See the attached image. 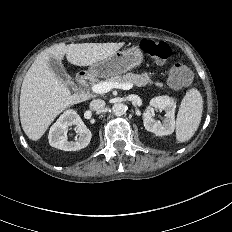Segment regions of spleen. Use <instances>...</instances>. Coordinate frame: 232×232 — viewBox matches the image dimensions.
Instances as JSON below:
<instances>
[{
  "mask_svg": "<svg viewBox=\"0 0 232 232\" xmlns=\"http://www.w3.org/2000/svg\"><path fill=\"white\" fill-rule=\"evenodd\" d=\"M203 111V99L197 89H190L184 96L176 119V138L186 142L199 127Z\"/></svg>",
  "mask_w": 232,
  "mask_h": 232,
  "instance_id": "spleen-1",
  "label": "spleen"
}]
</instances>
